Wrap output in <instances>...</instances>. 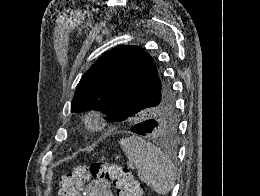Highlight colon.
<instances>
[{
    "label": "colon",
    "instance_id": "1",
    "mask_svg": "<svg viewBox=\"0 0 260 196\" xmlns=\"http://www.w3.org/2000/svg\"><path fill=\"white\" fill-rule=\"evenodd\" d=\"M130 169L114 162L95 161L79 165L59 178L58 196H81L88 183L108 181L117 191H132L136 183L131 179Z\"/></svg>",
    "mask_w": 260,
    "mask_h": 196
}]
</instances>
